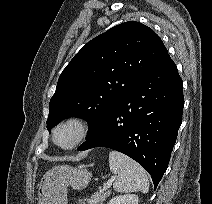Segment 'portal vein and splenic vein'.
I'll use <instances>...</instances> for the list:
<instances>
[{
	"label": "portal vein and splenic vein",
	"instance_id": "1",
	"mask_svg": "<svg viewBox=\"0 0 212 204\" xmlns=\"http://www.w3.org/2000/svg\"><path fill=\"white\" fill-rule=\"evenodd\" d=\"M115 179H116L115 177H111L110 179H108V181L106 183H104L103 190L109 189V187L112 185V182Z\"/></svg>",
	"mask_w": 212,
	"mask_h": 204
}]
</instances>
